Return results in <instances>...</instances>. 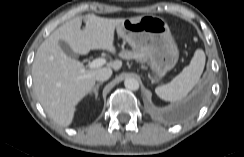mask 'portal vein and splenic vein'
Segmentation results:
<instances>
[{
  "label": "portal vein and splenic vein",
  "instance_id": "18ae733b",
  "mask_svg": "<svg viewBox=\"0 0 244 157\" xmlns=\"http://www.w3.org/2000/svg\"><path fill=\"white\" fill-rule=\"evenodd\" d=\"M106 63V60L104 58H98L93 60L92 62H90L88 64V67L90 69H95V68H99L101 66H103Z\"/></svg>",
  "mask_w": 244,
  "mask_h": 157
}]
</instances>
